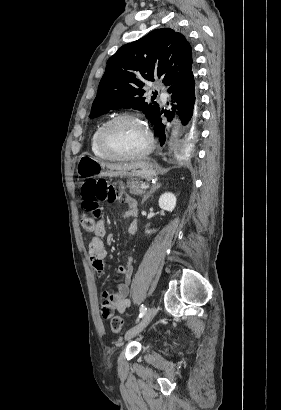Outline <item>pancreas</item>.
Returning a JSON list of instances; mask_svg holds the SVG:
<instances>
[{"mask_svg": "<svg viewBox=\"0 0 281 410\" xmlns=\"http://www.w3.org/2000/svg\"><path fill=\"white\" fill-rule=\"evenodd\" d=\"M127 188H129V192L134 195H142L145 193L144 189H141V182L137 179H132L127 181Z\"/></svg>", "mask_w": 281, "mask_h": 410, "instance_id": "cf45deb5", "label": "pancreas"}]
</instances>
